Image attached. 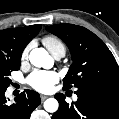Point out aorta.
<instances>
[{
  "mask_svg": "<svg viewBox=\"0 0 119 119\" xmlns=\"http://www.w3.org/2000/svg\"><path fill=\"white\" fill-rule=\"evenodd\" d=\"M29 59L32 65L36 67L51 68L52 58L48 55L47 51L43 48H35L30 52ZM59 106L55 98H49L44 102V109L47 112L54 113Z\"/></svg>",
  "mask_w": 119,
  "mask_h": 119,
  "instance_id": "1",
  "label": "aorta"
}]
</instances>
